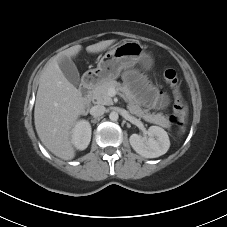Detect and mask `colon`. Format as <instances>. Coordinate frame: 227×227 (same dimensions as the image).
<instances>
[{"label":"colon","mask_w":227,"mask_h":227,"mask_svg":"<svg viewBox=\"0 0 227 227\" xmlns=\"http://www.w3.org/2000/svg\"><path fill=\"white\" fill-rule=\"evenodd\" d=\"M164 78L174 93L173 113L170 117V121L175 125L181 126L183 124L185 108L180 90L179 72L174 68H167L164 71Z\"/></svg>","instance_id":"obj_1"}]
</instances>
